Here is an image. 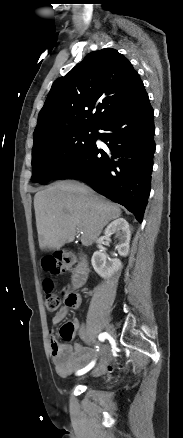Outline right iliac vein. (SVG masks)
I'll use <instances>...</instances> for the list:
<instances>
[{"mask_svg": "<svg viewBox=\"0 0 183 438\" xmlns=\"http://www.w3.org/2000/svg\"><path fill=\"white\" fill-rule=\"evenodd\" d=\"M106 331L110 336H112V337L115 336V331H114L112 326H108ZM93 374L98 375L95 370L93 371Z\"/></svg>", "mask_w": 183, "mask_h": 438, "instance_id": "obj_1", "label": "right iliac vein"}]
</instances>
